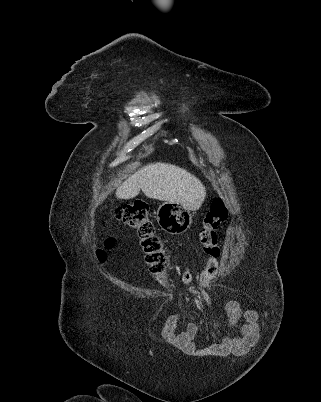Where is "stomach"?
Instances as JSON below:
<instances>
[{
    "label": "stomach",
    "mask_w": 321,
    "mask_h": 402,
    "mask_svg": "<svg viewBox=\"0 0 321 402\" xmlns=\"http://www.w3.org/2000/svg\"><path fill=\"white\" fill-rule=\"evenodd\" d=\"M157 222L165 232L177 235L184 233L191 224V211L182 204L162 203L157 210Z\"/></svg>",
    "instance_id": "1"
}]
</instances>
